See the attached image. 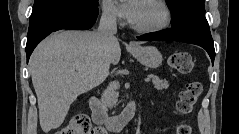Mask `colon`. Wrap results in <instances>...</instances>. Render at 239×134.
I'll return each instance as SVG.
<instances>
[{
  "mask_svg": "<svg viewBox=\"0 0 239 134\" xmlns=\"http://www.w3.org/2000/svg\"><path fill=\"white\" fill-rule=\"evenodd\" d=\"M168 62L173 69L180 73L189 74L194 71V60L188 53H174L169 57ZM201 92L202 84L199 81L188 83L179 95L175 105V113L180 116L189 115L193 111ZM175 130L176 134H191V128L187 124H178ZM57 134H103V131L92 125L88 115L78 113Z\"/></svg>",
  "mask_w": 239,
  "mask_h": 134,
  "instance_id": "5ec220e1",
  "label": "colon"
}]
</instances>
